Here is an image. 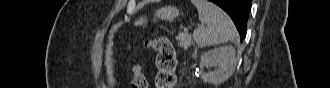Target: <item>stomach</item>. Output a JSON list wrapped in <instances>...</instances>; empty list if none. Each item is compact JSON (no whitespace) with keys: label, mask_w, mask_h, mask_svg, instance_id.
Listing matches in <instances>:
<instances>
[{"label":"stomach","mask_w":330,"mask_h":88,"mask_svg":"<svg viewBox=\"0 0 330 88\" xmlns=\"http://www.w3.org/2000/svg\"><path fill=\"white\" fill-rule=\"evenodd\" d=\"M179 16V10L173 6H166L158 9L155 12V17L173 22Z\"/></svg>","instance_id":"0dacf381"}]
</instances>
